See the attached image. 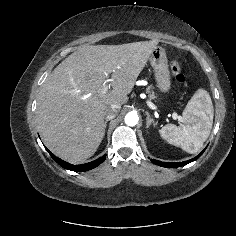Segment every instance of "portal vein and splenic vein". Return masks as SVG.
I'll use <instances>...</instances> for the list:
<instances>
[{
  "mask_svg": "<svg viewBox=\"0 0 236 236\" xmlns=\"http://www.w3.org/2000/svg\"><path fill=\"white\" fill-rule=\"evenodd\" d=\"M110 80H108L107 82H109ZM109 85L106 84V82L104 83L102 89H101V93L105 94L108 91ZM147 105L151 108V109H156V106L151 102V101H147ZM173 117L176 119L178 118L177 114H174Z\"/></svg>",
  "mask_w": 236,
  "mask_h": 236,
  "instance_id": "18ae733b",
  "label": "portal vein and splenic vein"
}]
</instances>
